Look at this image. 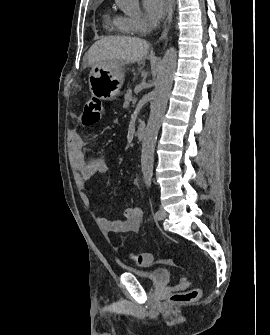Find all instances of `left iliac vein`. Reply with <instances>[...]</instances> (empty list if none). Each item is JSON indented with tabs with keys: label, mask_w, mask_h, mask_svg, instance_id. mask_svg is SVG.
<instances>
[{
	"label": "left iliac vein",
	"mask_w": 270,
	"mask_h": 335,
	"mask_svg": "<svg viewBox=\"0 0 270 335\" xmlns=\"http://www.w3.org/2000/svg\"><path fill=\"white\" fill-rule=\"evenodd\" d=\"M159 212L160 214L157 217L158 220H163L167 217V212L163 208H160Z\"/></svg>",
	"instance_id": "obj_1"
}]
</instances>
